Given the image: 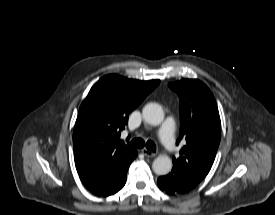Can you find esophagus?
Instances as JSON below:
<instances>
[{
  "instance_id": "obj_1",
  "label": "esophagus",
  "mask_w": 275,
  "mask_h": 215,
  "mask_svg": "<svg viewBox=\"0 0 275 215\" xmlns=\"http://www.w3.org/2000/svg\"><path fill=\"white\" fill-rule=\"evenodd\" d=\"M142 153L146 156V157H155L156 154L154 152L149 151L148 149L144 148L142 149Z\"/></svg>"
}]
</instances>
